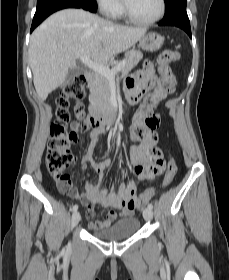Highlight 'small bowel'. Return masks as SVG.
<instances>
[{
	"label": "small bowel",
	"instance_id": "1",
	"mask_svg": "<svg viewBox=\"0 0 229 280\" xmlns=\"http://www.w3.org/2000/svg\"><path fill=\"white\" fill-rule=\"evenodd\" d=\"M175 84V79H173ZM157 85V86H156ZM156 86V87H155ZM155 87L152 95L154 101L152 104H145L142 102L139 111L150 115L153 107L164 100L169 94L157 80L155 69L152 65H145L140 71L128 76L125 81V99L129 103L137 102L141 99L142 94L151 88ZM104 134V130L100 131L92 129L90 133L91 140L87 146L86 152L82 158V168L88 166L99 175L98 183L86 182L84 191L67 192L68 196L79 201L85 207V214L91 218L95 213V207L112 208L108 212L104 220L89 223L88 227L91 230L104 229L109 227L117 218L119 210L120 215L124 217H131L135 214L137 209L130 207L128 201L138 198V182L155 179V174L149 171L145 166L149 150L153 148L158 141V133L155 129L147 132L143 138V142L130 149L129 160L136 173V181H130L128 184L121 183L117 190L108 191L103 188L102 183L106 171L112 165L111 159H105L102 162H96L93 158V152L96 149L97 137ZM123 173V170H120Z\"/></svg>",
	"mask_w": 229,
	"mask_h": 280
}]
</instances>
